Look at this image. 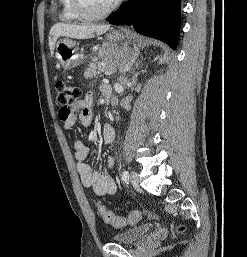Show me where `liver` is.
Listing matches in <instances>:
<instances>
[{
	"label": "liver",
	"instance_id": "liver-1",
	"mask_svg": "<svg viewBox=\"0 0 247 257\" xmlns=\"http://www.w3.org/2000/svg\"><path fill=\"white\" fill-rule=\"evenodd\" d=\"M110 25H76L66 23H56L52 26L49 36V48L51 54L55 48L57 39L60 36L70 37L74 39H88L96 35H101L108 31Z\"/></svg>",
	"mask_w": 247,
	"mask_h": 257
}]
</instances>
